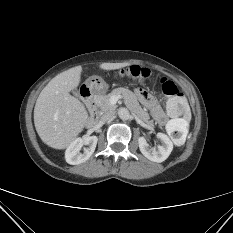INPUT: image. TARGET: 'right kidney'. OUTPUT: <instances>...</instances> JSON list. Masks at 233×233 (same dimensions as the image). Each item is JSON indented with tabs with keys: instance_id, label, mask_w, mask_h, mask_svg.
<instances>
[{
	"instance_id": "obj_1",
	"label": "right kidney",
	"mask_w": 233,
	"mask_h": 233,
	"mask_svg": "<svg viewBox=\"0 0 233 233\" xmlns=\"http://www.w3.org/2000/svg\"><path fill=\"white\" fill-rule=\"evenodd\" d=\"M97 141V136H89L75 139L66 149V162L71 165H78L87 161L94 153ZM84 145H87L88 147L84 148L83 153H80V150Z\"/></svg>"
}]
</instances>
